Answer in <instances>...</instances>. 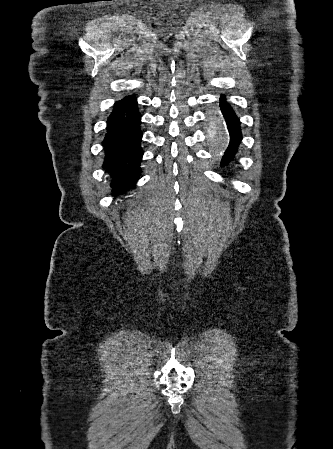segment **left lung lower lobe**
<instances>
[{
    "label": "left lung lower lobe",
    "instance_id": "0a47b994",
    "mask_svg": "<svg viewBox=\"0 0 333 449\" xmlns=\"http://www.w3.org/2000/svg\"><path fill=\"white\" fill-rule=\"evenodd\" d=\"M220 106L230 134L229 147L227 148L225 156H223L221 163V166L224 167L225 165L229 164V162L233 159L235 153L237 152L239 142L242 139V134L240 131L239 119L235 115L230 105L225 102V97L223 95L220 98Z\"/></svg>",
    "mask_w": 333,
    "mask_h": 449
}]
</instances>
